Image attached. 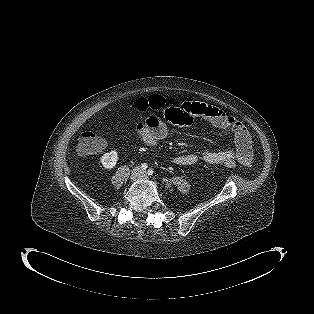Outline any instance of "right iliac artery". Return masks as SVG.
<instances>
[{
    "instance_id": "1",
    "label": "right iliac artery",
    "mask_w": 314,
    "mask_h": 314,
    "mask_svg": "<svg viewBox=\"0 0 314 314\" xmlns=\"http://www.w3.org/2000/svg\"><path fill=\"white\" fill-rule=\"evenodd\" d=\"M147 167H148V165H147L146 163L142 164V166H141V168H142L143 170H146Z\"/></svg>"
}]
</instances>
